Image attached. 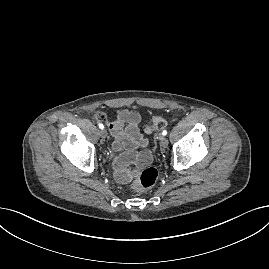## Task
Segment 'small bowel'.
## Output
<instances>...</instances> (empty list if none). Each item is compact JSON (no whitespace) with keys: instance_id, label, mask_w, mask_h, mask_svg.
Instances as JSON below:
<instances>
[{"instance_id":"1","label":"small bowel","mask_w":269,"mask_h":269,"mask_svg":"<svg viewBox=\"0 0 269 269\" xmlns=\"http://www.w3.org/2000/svg\"><path fill=\"white\" fill-rule=\"evenodd\" d=\"M140 114L135 110H121L116 120L110 124L113 137V149L125 152L113 160L115 178L119 183L126 184L138 176V170L147 166L151 157L146 151L135 154L138 148H145L147 140L139 130Z\"/></svg>"}]
</instances>
